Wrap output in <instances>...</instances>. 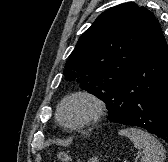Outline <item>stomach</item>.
<instances>
[{"mask_svg":"<svg viewBox=\"0 0 168 162\" xmlns=\"http://www.w3.org/2000/svg\"><path fill=\"white\" fill-rule=\"evenodd\" d=\"M88 162H99V161H98L97 157H93V158L89 159Z\"/></svg>","mask_w":168,"mask_h":162,"instance_id":"1","label":"stomach"}]
</instances>
